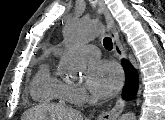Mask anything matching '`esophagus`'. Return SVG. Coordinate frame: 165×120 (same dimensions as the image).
Segmentation results:
<instances>
[{
  "label": "esophagus",
  "instance_id": "obj_1",
  "mask_svg": "<svg viewBox=\"0 0 165 120\" xmlns=\"http://www.w3.org/2000/svg\"><path fill=\"white\" fill-rule=\"evenodd\" d=\"M98 3L100 6V9L105 15L108 32L113 42V48H114L115 54L117 55L118 58L125 59L126 53L124 49L122 48L121 43L119 41V36L114 24V20L111 14L109 13V11L107 10L104 1L99 0ZM124 106H125V101L122 98H118L113 109H111L110 111L102 112L98 116V119L99 120H116L122 113Z\"/></svg>",
  "mask_w": 165,
  "mask_h": 120
}]
</instances>
